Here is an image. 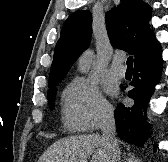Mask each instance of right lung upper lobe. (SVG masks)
Instances as JSON below:
<instances>
[{"label":"right lung upper lobe","instance_id":"cb5924a9","mask_svg":"<svg viewBox=\"0 0 168 162\" xmlns=\"http://www.w3.org/2000/svg\"><path fill=\"white\" fill-rule=\"evenodd\" d=\"M151 7L141 0H121L105 16L110 41L135 56V63L160 49L149 30ZM92 16L89 11L71 14L63 24L50 70L49 84L61 81L91 39Z\"/></svg>","mask_w":168,"mask_h":162}]
</instances>
